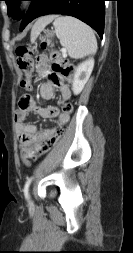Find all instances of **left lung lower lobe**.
I'll use <instances>...</instances> for the list:
<instances>
[{"label": "left lung lower lobe", "instance_id": "1", "mask_svg": "<svg viewBox=\"0 0 133 253\" xmlns=\"http://www.w3.org/2000/svg\"><path fill=\"white\" fill-rule=\"evenodd\" d=\"M32 4L23 17L20 31L37 17L63 14L76 17L97 31L102 38L106 0H30Z\"/></svg>", "mask_w": 133, "mask_h": 253}]
</instances>
